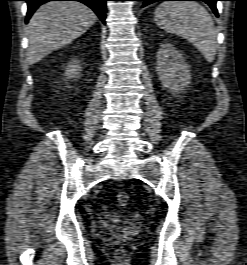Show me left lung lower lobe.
<instances>
[{
    "label": "left lung lower lobe",
    "mask_w": 247,
    "mask_h": 265,
    "mask_svg": "<svg viewBox=\"0 0 247 265\" xmlns=\"http://www.w3.org/2000/svg\"><path fill=\"white\" fill-rule=\"evenodd\" d=\"M137 1H143L142 7H145L149 4H152V3L157 2V1H168V0H137ZM193 1H203V2L207 3L211 7V9L213 10L214 14L218 17V12L216 9V2L221 1V0H193Z\"/></svg>",
    "instance_id": "0a47b994"
}]
</instances>
